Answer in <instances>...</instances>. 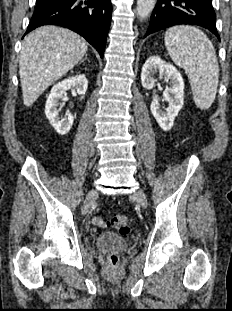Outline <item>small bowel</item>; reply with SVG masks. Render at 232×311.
I'll return each instance as SVG.
<instances>
[{
  "label": "small bowel",
  "mask_w": 232,
  "mask_h": 311,
  "mask_svg": "<svg viewBox=\"0 0 232 311\" xmlns=\"http://www.w3.org/2000/svg\"><path fill=\"white\" fill-rule=\"evenodd\" d=\"M92 224L99 227H104L106 225L105 222L98 217L92 219Z\"/></svg>",
  "instance_id": "obj_1"
}]
</instances>
